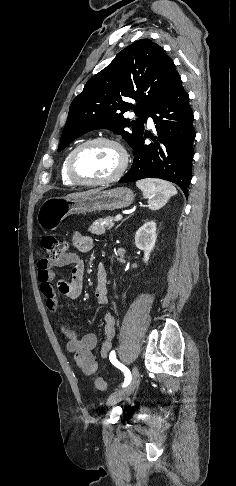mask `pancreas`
<instances>
[{"label":"pancreas","instance_id":"1","mask_svg":"<svg viewBox=\"0 0 236 486\" xmlns=\"http://www.w3.org/2000/svg\"><path fill=\"white\" fill-rule=\"evenodd\" d=\"M114 226L113 217L108 216L105 218H99L89 228L88 231L92 234L102 235Z\"/></svg>","mask_w":236,"mask_h":486}]
</instances>
